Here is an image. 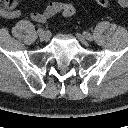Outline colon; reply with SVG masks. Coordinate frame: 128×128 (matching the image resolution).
Returning a JSON list of instances; mask_svg holds the SVG:
<instances>
[{
    "label": "colon",
    "instance_id": "5ec220e1",
    "mask_svg": "<svg viewBox=\"0 0 128 128\" xmlns=\"http://www.w3.org/2000/svg\"><path fill=\"white\" fill-rule=\"evenodd\" d=\"M120 5L128 8V0H118ZM96 2L101 6H108L110 4V0H96ZM17 6V0H0V8L6 10H13ZM76 9L75 6L71 3H67L63 10L62 14L65 17H71L75 14Z\"/></svg>",
    "mask_w": 128,
    "mask_h": 128
}]
</instances>
